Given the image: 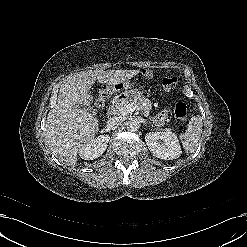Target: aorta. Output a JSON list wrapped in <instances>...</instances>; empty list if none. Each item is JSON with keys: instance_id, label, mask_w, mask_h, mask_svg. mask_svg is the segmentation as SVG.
Returning a JSON list of instances; mask_svg holds the SVG:
<instances>
[{"instance_id": "762f6f07", "label": "aorta", "mask_w": 247, "mask_h": 247, "mask_svg": "<svg viewBox=\"0 0 247 247\" xmlns=\"http://www.w3.org/2000/svg\"><path fill=\"white\" fill-rule=\"evenodd\" d=\"M127 128L131 131H137L140 127V124L137 120L133 119L127 122Z\"/></svg>"}]
</instances>
